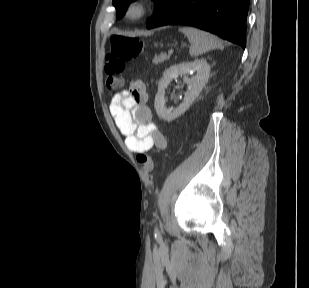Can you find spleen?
Wrapping results in <instances>:
<instances>
[{
	"mask_svg": "<svg viewBox=\"0 0 309 288\" xmlns=\"http://www.w3.org/2000/svg\"><path fill=\"white\" fill-rule=\"evenodd\" d=\"M179 31L184 33L191 43L189 53L196 57L211 49L222 48V42L215 36L206 31L193 27H183Z\"/></svg>",
	"mask_w": 309,
	"mask_h": 288,
	"instance_id": "spleen-1",
	"label": "spleen"
}]
</instances>
